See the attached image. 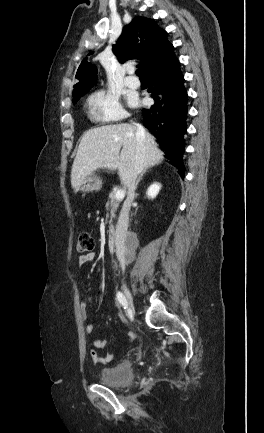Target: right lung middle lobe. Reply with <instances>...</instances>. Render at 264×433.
Segmentation results:
<instances>
[{
  "mask_svg": "<svg viewBox=\"0 0 264 433\" xmlns=\"http://www.w3.org/2000/svg\"><path fill=\"white\" fill-rule=\"evenodd\" d=\"M78 100H79V98L73 100V103L75 104Z\"/></svg>",
  "mask_w": 264,
  "mask_h": 433,
  "instance_id": "obj_1",
  "label": "right lung middle lobe"
}]
</instances>
